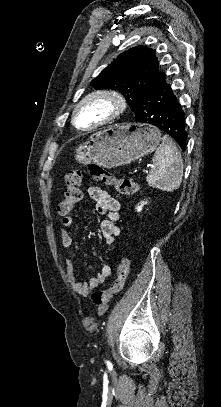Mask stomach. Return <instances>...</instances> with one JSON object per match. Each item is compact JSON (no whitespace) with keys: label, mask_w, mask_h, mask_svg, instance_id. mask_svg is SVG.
<instances>
[{"label":"stomach","mask_w":221,"mask_h":407,"mask_svg":"<svg viewBox=\"0 0 221 407\" xmlns=\"http://www.w3.org/2000/svg\"><path fill=\"white\" fill-rule=\"evenodd\" d=\"M158 129L140 123L121 124L94 133L75 147V159L105 168L129 164L153 152L159 145Z\"/></svg>","instance_id":"obj_1"}]
</instances>
